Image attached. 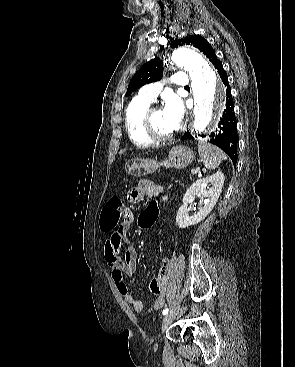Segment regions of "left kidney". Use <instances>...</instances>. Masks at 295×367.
Returning <instances> with one entry per match:
<instances>
[{"label": "left kidney", "mask_w": 295, "mask_h": 367, "mask_svg": "<svg viewBox=\"0 0 295 367\" xmlns=\"http://www.w3.org/2000/svg\"><path fill=\"white\" fill-rule=\"evenodd\" d=\"M224 174H215L195 181L186 191L183 197V205L176 215V224L179 228H186L198 224L212 211L222 192L224 184ZM195 196L200 199L198 212L193 216L189 215L188 205L194 201Z\"/></svg>", "instance_id": "5707ae66"}]
</instances>
